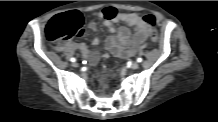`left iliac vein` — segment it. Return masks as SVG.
Listing matches in <instances>:
<instances>
[{"instance_id": "obj_1", "label": "left iliac vein", "mask_w": 218, "mask_h": 122, "mask_svg": "<svg viewBox=\"0 0 218 122\" xmlns=\"http://www.w3.org/2000/svg\"><path fill=\"white\" fill-rule=\"evenodd\" d=\"M139 67V64L137 62H134L130 65L131 69H137Z\"/></svg>"}]
</instances>
